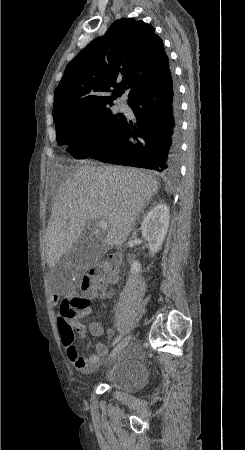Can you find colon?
<instances>
[{
    "label": "colon",
    "mask_w": 245,
    "mask_h": 450,
    "mask_svg": "<svg viewBox=\"0 0 245 450\" xmlns=\"http://www.w3.org/2000/svg\"><path fill=\"white\" fill-rule=\"evenodd\" d=\"M122 263L116 254H112L106 260H101L84 271L80 277V288L83 293H88L94 288H103L113 282L119 274ZM80 307H85V300H81ZM74 300L63 299L58 311V329L62 340L70 343L75 338V331L81 330L82 325L78 322ZM81 364V362H80Z\"/></svg>",
    "instance_id": "1"
}]
</instances>
